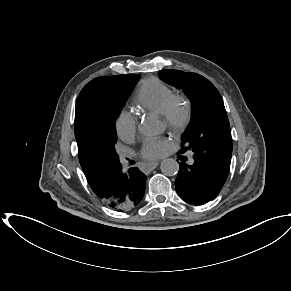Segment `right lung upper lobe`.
<instances>
[{
	"label": "right lung upper lobe",
	"instance_id": "1",
	"mask_svg": "<svg viewBox=\"0 0 291 291\" xmlns=\"http://www.w3.org/2000/svg\"><path fill=\"white\" fill-rule=\"evenodd\" d=\"M75 137L84 174L95 194L104 200L109 195L107 173L116 163L107 160L91 143L86 113L79 105L75 108Z\"/></svg>",
	"mask_w": 291,
	"mask_h": 291
}]
</instances>
